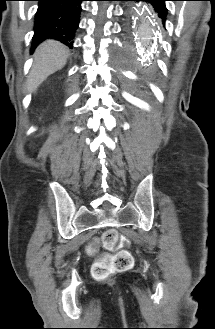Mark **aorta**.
I'll use <instances>...</instances> for the list:
<instances>
[{
  "label": "aorta",
  "mask_w": 215,
  "mask_h": 329,
  "mask_svg": "<svg viewBox=\"0 0 215 329\" xmlns=\"http://www.w3.org/2000/svg\"><path fill=\"white\" fill-rule=\"evenodd\" d=\"M138 13L140 21H137L134 31L141 44L150 50L156 38L155 18L146 8H138Z\"/></svg>",
  "instance_id": "762f6f07"
}]
</instances>
